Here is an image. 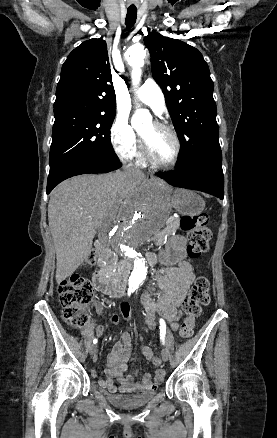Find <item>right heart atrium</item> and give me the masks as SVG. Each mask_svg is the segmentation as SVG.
I'll list each match as a JSON object with an SVG mask.
<instances>
[{
    "label": "right heart atrium",
    "mask_w": 277,
    "mask_h": 438,
    "mask_svg": "<svg viewBox=\"0 0 277 438\" xmlns=\"http://www.w3.org/2000/svg\"><path fill=\"white\" fill-rule=\"evenodd\" d=\"M111 141L116 152L125 159L137 154L138 139L128 122L127 115L118 113L111 127Z\"/></svg>",
    "instance_id": "d8ad5b80"
}]
</instances>
